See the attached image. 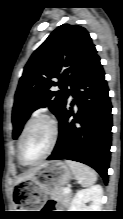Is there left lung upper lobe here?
I'll use <instances>...</instances> for the list:
<instances>
[{
  "label": "left lung upper lobe",
  "mask_w": 123,
  "mask_h": 219,
  "mask_svg": "<svg viewBox=\"0 0 123 219\" xmlns=\"http://www.w3.org/2000/svg\"><path fill=\"white\" fill-rule=\"evenodd\" d=\"M96 56L85 28L70 24L56 28L24 67L12 112L13 138L19 136L30 114L40 107H48L59 118L70 92L67 87ZM52 86L60 90L51 91Z\"/></svg>",
  "instance_id": "1"
}]
</instances>
